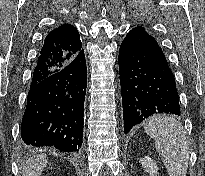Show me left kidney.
Wrapping results in <instances>:
<instances>
[{"instance_id": "left-kidney-1", "label": "left kidney", "mask_w": 205, "mask_h": 176, "mask_svg": "<svg viewBox=\"0 0 205 176\" xmlns=\"http://www.w3.org/2000/svg\"><path fill=\"white\" fill-rule=\"evenodd\" d=\"M142 167L150 176H155L158 173V166L149 156L141 159Z\"/></svg>"}]
</instances>
